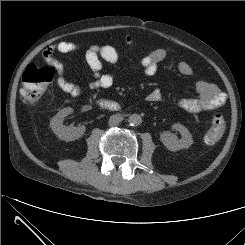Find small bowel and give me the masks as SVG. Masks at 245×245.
Segmentation results:
<instances>
[{
    "mask_svg": "<svg viewBox=\"0 0 245 245\" xmlns=\"http://www.w3.org/2000/svg\"><path fill=\"white\" fill-rule=\"evenodd\" d=\"M82 50L79 43L71 41H61L46 48L42 53V61L55 70L57 75V85L64 92L77 97L83 92L82 86L68 80L63 63L55 57V53H77ZM171 58V53L166 49H155L141 59V66L146 76L154 75L160 65ZM87 65L93 75L90 87L93 89H105L113 84L110 74L102 72L103 61L115 63L118 60L117 50L109 45L91 46L85 51ZM180 74L190 76L193 73L192 67L185 61L177 63ZM198 96L181 100L177 106L180 110L188 113H199L210 111L223 105L226 101L225 94L213 83L199 81L196 84ZM150 101L160 100V94L152 92L148 96Z\"/></svg>",
    "mask_w": 245,
    "mask_h": 245,
    "instance_id": "small-bowel-1",
    "label": "small bowel"
}]
</instances>
